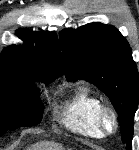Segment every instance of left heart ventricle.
<instances>
[{
  "label": "left heart ventricle",
  "instance_id": "left-heart-ventricle-1",
  "mask_svg": "<svg viewBox=\"0 0 139 150\" xmlns=\"http://www.w3.org/2000/svg\"><path fill=\"white\" fill-rule=\"evenodd\" d=\"M108 124H109V126H111V121L110 120H109Z\"/></svg>",
  "mask_w": 139,
  "mask_h": 150
}]
</instances>
